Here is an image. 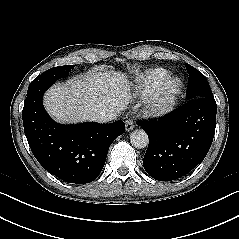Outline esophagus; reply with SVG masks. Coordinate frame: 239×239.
I'll list each match as a JSON object with an SVG mask.
<instances>
[{"label": "esophagus", "instance_id": "1", "mask_svg": "<svg viewBox=\"0 0 239 239\" xmlns=\"http://www.w3.org/2000/svg\"><path fill=\"white\" fill-rule=\"evenodd\" d=\"M134 122L132 119H128L125 121V130L126 131H131L134 128Z\"/></svg>", "mask_w": 239, "mask_h": 239}]
</instances>
